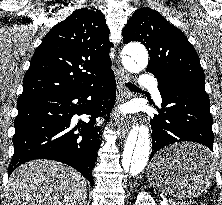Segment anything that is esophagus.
<instances>
[{"label":"esophagus","instance_id":"obj_1","mask_svg":"<svg viewBox=\"0 0 222 205\" xmlns=\"http://www.w3.org/2000/svg\"><path fill=\"white\" fill-rule=\"evenodd\" d=\"M131 77L123 69H120L117 76V89H118V98L119 103L124 102L129 97V92L125 87V83L130 81ZM129 130V120L127 118L121 117L120 122L118 123V131L120 136L124 137Z\"/></svg>","mask_w":222,"mask_h":205}]
</instances>
